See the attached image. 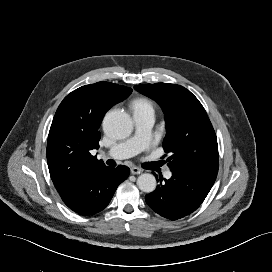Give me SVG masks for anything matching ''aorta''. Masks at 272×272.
Returning a JSON list of instances; mask_svg holds the SVG:
<instances>
[{
    "label": "aorta",
    "instance_id": "aorta-1",
    "mask_svg": "<svg viewBox=\"0 0 272 272\" xmlns=\"http://www.w3.org/2000/svg\"><path fill=\"white\" fill-rule=\"evenodd\" d=\"M103 130L109 137L123 139L131 134L133 122L126 112L113 110L105 115ZM137 186L141 191L151 193L156 189V178L149 173L141 174L137 179Z\"/></svg>",
    "mask_w": 272,
    "mask_h": 272
}]
</instances>
